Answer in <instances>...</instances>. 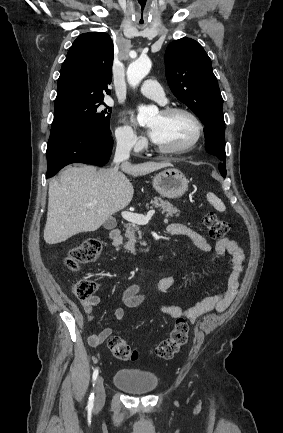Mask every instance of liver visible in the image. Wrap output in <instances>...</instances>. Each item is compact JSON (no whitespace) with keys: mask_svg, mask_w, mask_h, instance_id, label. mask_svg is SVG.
I'll use <instances>...</instances> for the list:
<instances>
[{"mask_svg":"<svg viewBox=\"0 0 283 433\" xmlns=\"http://www.w3.org/2000/svg\"><path fill=\"white\" fill-rule=\"evenodd\" d=\"M171 162H141L124 160L113 168L75 164L63 170L59 180L49 182V202L44 241L48 245L63 243L78 233L97 231L111 219V214L125 208L134 194L133 184L125 176H141ZM121 168L122 172H119ZM97 200V204H89Z\"/></svg>","mask_w":283,"mask_h":433,"instance_id":"obj_1","label":"liver"}]
</instances>
